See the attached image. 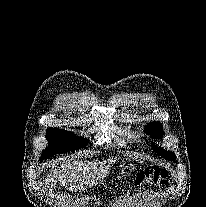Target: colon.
<instances>
[{"label":"colon","mask_w":206,"mask_h":207,"mask_svg":"<svg viewBox=\"0 0 206 207\" xmlns=\"http://www.w3.org/2000/svg\"><path fill=\"white\" fill-rule=\"evenodd\" d=\"M167 182V171L161 167H148L140 171L134 180V185L143 187H160Z\"/></svg>","instance_id":"1"}]
</instances>
